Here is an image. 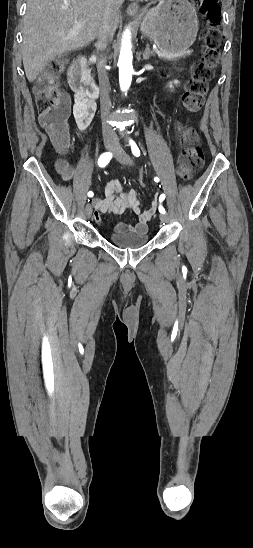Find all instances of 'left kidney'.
Returning a JSON list of instances; mask_svg holds the SVG:
<instances>
[{
	"label": "left kidney",
	"instance_id": "1",
	"mask_svg": "<svg viewBox=\"0 0 253 548\" xmlns=\"http://www.w3.org/2000/svg\"><path fill=\"white\" fill-rule=\"evenodd\" d=\"M173 83H174V84H178L179 82H178L177 80H175L174 82H170V83H169V87H170V88L173 87V85H172Z\"/></svg>",
	"mask_w": 253,
	"mask_h": 548
}]
</instances>
